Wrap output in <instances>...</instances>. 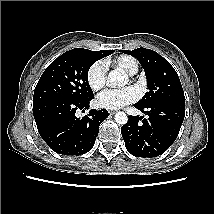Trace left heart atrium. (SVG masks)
Returning a JSON list of instances; mask_svg holds the SVG:
<instances>
[{
  "mask_svg": "<svg viewBox=\"0 0 214 214\" xmlns=\"http://www.w3.org/2000/svg\"><path fill=\"white\" fill-rule=\"evenodd\" d=\"M137 97V90L134 87L129 86L117 90H105L98 95L96 103L101 108L119 109L127 104L134 102Z\"/></svg>",
  "mask_w": 214,
  "mask_h": 214,
  "instance_id": "obj_1",
  "label": "left heart atrium"
}]
</instances>
